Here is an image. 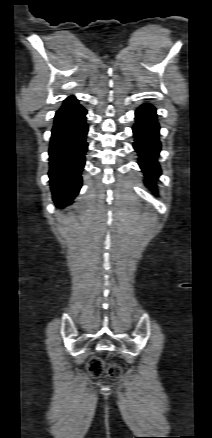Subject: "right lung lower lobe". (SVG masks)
Returning a JSON list of instances; mask_svg holds the SVG:
<instances>
[{
  "label": "right lung lower lobe",
  "mask_w": 212,
  "mask_h": 438,
  "mask_svg": "<svg viewBox=\"0 0 212 438\" xmlns=\"http://www.w3.org/2000/svg\"><path fill=\"white\" fill-rule=\"evenodd\" d=\"M87 111L74 96L68 97L56 112L49 149L50 185L53 200L61 208L78 194L85 165Z\"/></svg>",
  "instance_id": "98d812e1"
}]
</instances>
